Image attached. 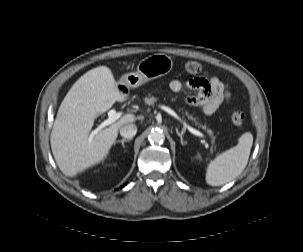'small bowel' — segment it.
I'll return each mask as SVG.
<instances>
[{
	"instance_id": "obj_1",
	"label": "small bowel",
	"mask_w": 303,
	"mask_h": 252,
	"mask_svg": "<svg viewBox=\"0 0 303 252\" xmlns=\"http://www.w3.org/2000/svg\"><path fill=\"white\" fill-rule=\"evenodd\" d=\"M169 87L174 93H180L184 89L196 91L197 94L187 97L185 103L188 106L200 108L207 115L216 112L223 102L230 99L229 85L218 77L195 78L186 83L173 80Z\"/></svg>"
}]
</instances>
